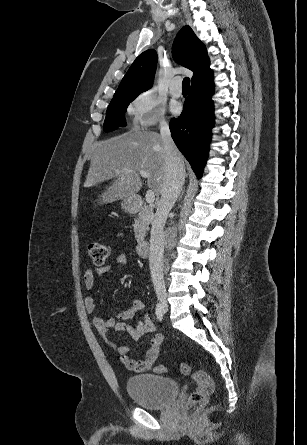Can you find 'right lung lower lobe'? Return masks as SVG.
Returning <instances> with one entry per match:
<instances>
[{"label":"right lung lower lobe","mask_w":307,"mask_h":445,"mask_svg":"<svg viewBox=\"0 0 307 445\" xmlns=\"http://www.w3.org/2000/svg\"><path fill=\"white\" fill-rule=\"evenodd\" d=\"M213 93V72L210 69L192 81L183 112L170 121L172 137L198 178H201L206 164L211 128L214 126Z\"/></svg>","instance_id":"1"}]
</instances>
